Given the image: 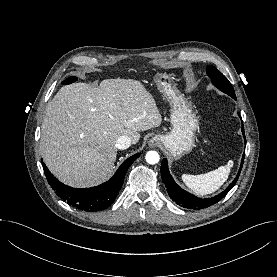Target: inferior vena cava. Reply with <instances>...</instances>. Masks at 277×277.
<instances>
[{"label":"inferior vena cava","mask_w":277,"mask_h":277,"mask_svg":"<svg viewBox=\"0 0 277 277\" xmlns=\"http://www.w3.org/2000/svg\"><path fill=\"white\" fill-rule=\"evenodd\" d=\"M130 146H131V138L126 135L119 137L115 144V147L120 150H125Z\"/></svg>","instance_id":"obj_1"}]
</instances>
